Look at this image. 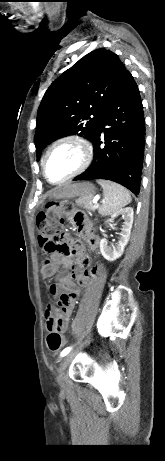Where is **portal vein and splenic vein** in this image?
<instances>
[{"label": "portal vein and splenic vein", "mask_w": 165, "mask_h": 461, "mask_svg": "<svg viewBox=\"0 0 165 461\" xmlns=\"http://www.w3.org/2000/svg\"><path fill=\"white\" fill-rule=\"evenodd\" d=\"M98 200H99V197H97V196L93 199V204H94L96 207L99 206V204L97 203Z\"/></svg>", "instance_id": "obj_1"}]
</instances>
